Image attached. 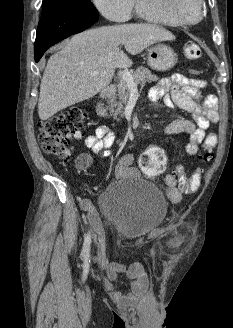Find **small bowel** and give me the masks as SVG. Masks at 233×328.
Listing matches in <instances>:
<instances>
[{"label": "small bowel", "instance_id": "small-bowel-1", "mask_svg": "<svg viewBox=\"0 0 233 328\" xmlns=\"http://www.w3.org/2000/svg\"><path fill=\"white\" fill-rule=\"evenodd\" d=\"M206 81L190 78L183 74H174L151 88L149 97L152 101L163 100L169 108L178 107L191 116V119L178 118L170 122L164 129L166 135L186 134L188 139L185 145L186 153L195 156L199 153V145L206 139V130L211 124L219 121L218 102L215 96H201V89ZM115 136L106 125L98 126L94 133L85 139V145L94 153L102 155L114 143ZM116 174L121 179H135L144 173L135 166L133 154L124 155L117 164ZM166 193L172 203L180 202L181 191L177 187V179L172 174L164 178ZM80 205L87 212L88 220L98 230L97 214L87 199H82ZM124 274L129 279V291L124 292L117 287L118 276ZM104 285L112 299L121 304H132L142 298L148 290L149 280L147 273L140 262L128 266L111 263L104 276Z\"/></svg>", "mask_w": 233, "mask_h": 328}]
</instances>
